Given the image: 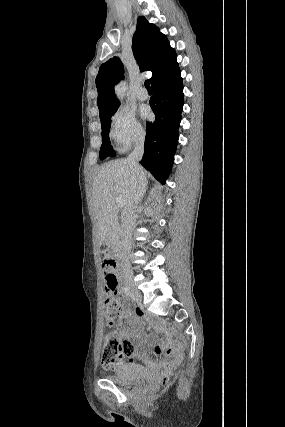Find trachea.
I'll use <instances>...</instances> for the list:
<instances>
[{
  "mask_svg": "<svg viewBox=\"0 0 285 427\" xmlns=\"http://www.w3.org/2000/svg\"><path fill=\"white\" fill-rule=\"evenodd\" d=\"M144 84H145V88H146L147 90H152V89H151V86H150V83H149V81H148V80H146Z\"/></svg>",
  "mask_w": 285,
  "mask_h": 427,
  "instance_id": "1",
  "label": "trachea"
}]
</instances>
